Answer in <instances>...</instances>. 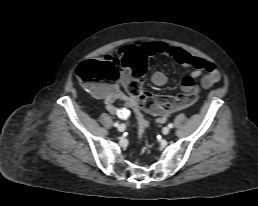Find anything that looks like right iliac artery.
<instances>
[{
    "label": "right iliac artery",
    "instance_id": "right-iliac-artery-1",
    "mask_svg": "<svg viewBox=\"0 0 258 206\" xmlns=\"http://www.w3.org/2000/svg\"><path fill=\"white\" fill-rule=\"evenodd\" d=\"M114 126H115V127H118V126H119V123H118V122H115V123H114Z\"/></svg>",
    "mask_w": 258,
    "mask_h": 206
}]
</instances>
